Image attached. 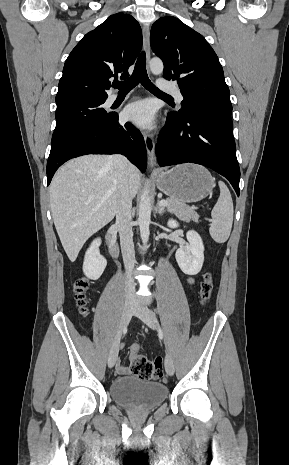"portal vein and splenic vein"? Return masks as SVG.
I'll return each instance as SVG.
<instances>
[{
  "mask_svg": "<svg viewBox=\"0 0 289 465\" xmlns=\"http://www.w3.org/2000/svg\"><path fill=\"white\" fill-rule=\"evenodd\" d=\"M167 204H168V203H167L166 200H160V201H159V205H161V206H166Z\"/></svg>",
  "mask_w": 289,
  "mask_h": 465,
  "instance_id": "obj_1",
  "label": "portal vein and splenic vein"
}]
</instances>
